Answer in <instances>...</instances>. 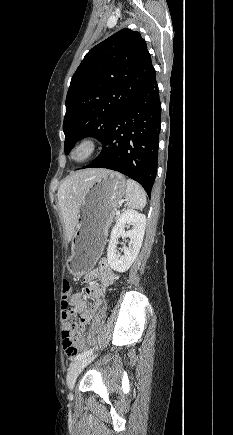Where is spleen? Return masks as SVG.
Segmentation results:
<instances>
[{"label": "spleen", "mask_w": 233, "mask_h": 435, "mask_svg": "<svg viewBox=\"0 0 233 435\" xmlns=\"http://www.w3.org/2000/svg\"><path fill=\"white\" fill-rule=\"evenodd\" d=\"M126 199L130 208L142 209L146 205V193L144 189L132 179L126 181Z\"/></svg>", "instance_id": "spleen-1"}]
</instances>
